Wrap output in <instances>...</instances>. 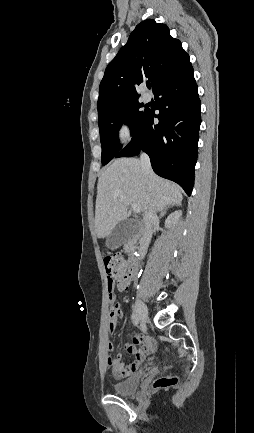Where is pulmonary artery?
Here are the masks:
<instances>
[{"label":"pulmonary artery","mask_w":254,"mask_h":433,"mask_svg":"<svg viewBox=\"0 0 254 433\" xmlns=\"http://www.w3.org/2000/svg\"><path fill=\"white\" fill-rule=\"evenodd\" d=\"M144 101H145V102H148V101H149V96H148V95H145V96H144Z\"/></svg>","instance_id":"pulmonary-artery-1"}]
</instances>
